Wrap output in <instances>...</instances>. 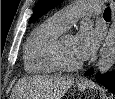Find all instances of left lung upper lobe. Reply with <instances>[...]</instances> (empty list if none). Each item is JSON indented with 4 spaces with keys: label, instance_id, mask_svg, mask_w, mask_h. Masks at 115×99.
<instances>
[{
    "label": "left lung upper lobe",
    "instance_id": "left-lung-upper-lobe-1",
    "mask_svg": "<svg viewBox=\"0 0 115 99\" xmlns=\"http://www.w3.org/2000/svg\"><path fill=\"white\" fill-rule=\"evenodd\" d=\"M63 0H39L29 23L34 22L51 8L60 4Z\"/></svg>",
    "mask_w": 115,
    "mask_h": 99
}]
</instances>
